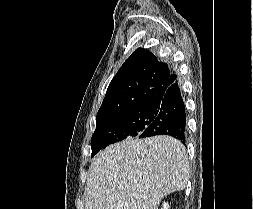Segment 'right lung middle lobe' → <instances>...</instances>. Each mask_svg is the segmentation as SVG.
<instances>
[{"instance_id": "dd1d6c3e", "label": "right lung middle lobe", "mask_w": 253, "mask_h": 209, "mask_svg": "<svg viewBox=\"0 0 253 209\" xmlns=\"http://www.w3.org/2000/svg\"><path fill=\"white\" fill-rule=\"evenodd\" d=\"M157 111L153 106H141L102 121H96V129L91 138L93 157L109 144L125 138L138 139L141 133L154 121Z\"/></svg>"}]
</instances>
